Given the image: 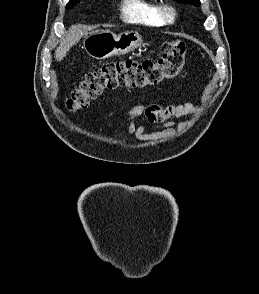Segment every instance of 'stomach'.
<instances>
[{"label":"stomach","mask_w":259,"mask_h":294,"mask_svg":"<svg viewBox=\"0 0 259 294\" xmlns=\"http://www.w3.org/2000/svg\"><path fill=\"white\" fill-rule=\"evenodd\" d=\"M142 44L138 32L125 31L118 35L109 30L93 31L84 39L86 52L95 59H106L134 51Z\"/></svg>","instance_id":"obj_1"}]
</instances>
